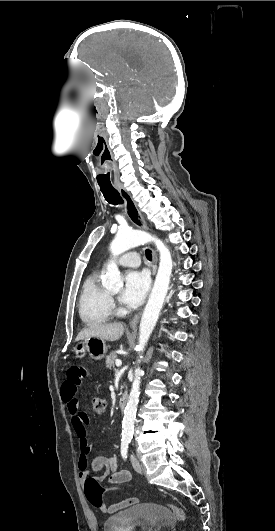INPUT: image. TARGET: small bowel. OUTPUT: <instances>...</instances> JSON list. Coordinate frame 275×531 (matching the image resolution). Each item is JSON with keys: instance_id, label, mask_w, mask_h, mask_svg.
I'll return each mask as SVG.
<instances>
[{"instance_id": "1", "label": "small bowel", "mask_w": 275, "mask_h": 531, "mask_svg": "<svg viewBox=\"0 0 275 531\" xmlns=\"http://www.w3.org/2000/svg\"><path fill=\"white\" fill-rule=\"evenodd\" d=\"M90 371L87 368H77L76 365L71 364L65 370V375L68 377V382L62 386V399L67 406L71 416L72 426L77 436L80 438L81 452L77 459V467L79 471V478L85 480V473L87 471L101 472L103 477L114 478L119 485L126 484L131 480L129 471L120 469L118 467V459L116 455L105 456L97 455L92 461H89V454L92 451V444L86 439L87 426L89 424V417L86 411L79 407L77 393L82 380H89ZM137 503V499L129 498L109 506L104 504L101 510L108 514H114L125 510Z\"/></svg>"}]
</instances>
